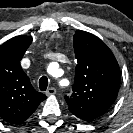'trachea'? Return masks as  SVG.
<instances>
[{"instance_id":"trachea-1","label":"trachea","mask_w":133,"mask_h":133,"mask_svg":"<svg viewBox=\"0 0 133 133\" xmlns=\"http://www.w3.org/2000/svg\"><path fill=\"white\" fill-rule=\"evenodd\" d=\"M48 87V78L46 76H42L39 80V88L41 91H45Z\"/></svg>"}]
</instances>
